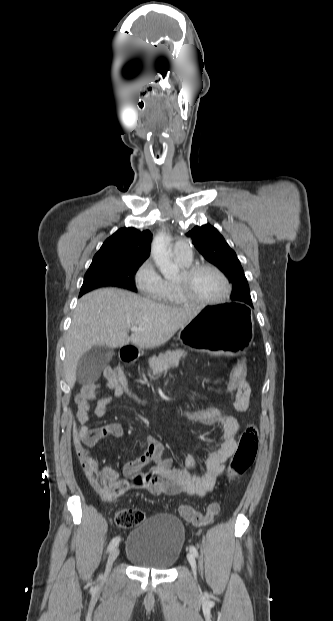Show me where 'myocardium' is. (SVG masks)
I'll list each match as a JSON object with an SVG mask.
<instances>
[{"label":"myocardium","instance_id":"f54148a6","mask_svg":"<svg viewBox=\"0 0 333 621\" xmlns=\"http://www.w3.org/2000/svg\"><path fill=\"white\" fill-rule=\"evenodd\" d=\"M202 270H211L215 272L223 280L225 284V291L222 294V296H220L217 299H213V300H202V299L196 298L192 294L191 289H190L191 280L198 272ZM176 287L178 289L179 294L186 301V303L192 304V305H198V306L221 304L229 298L232 292V284L230 280L228 279V277L226 276V274L217 266L209 264V263H198V264H193V265H189L188 267H185L181 272V278L176 280Z\"/></svg>","mask_w":333,"mask_h":621}]
</instances>
